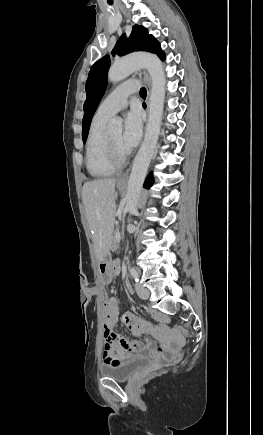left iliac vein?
<instances>
[{"mask_svg":"<svg viewBox=\"0 0 263 435\" xmlns=\"http://www.w3.org/2000/svg\"><path fill=\"white\" fill-rule=\"evenodd\" d=\"M136 291H137L138 296H139L141 299L146 300V299H148L149 296H150V292H149V290L146 289V288H144L142 285H140V284H138V283L136 284Z\"/></svg>","mask_w":263,"mask_h":435,"instance_id":"1","label":"left iliac vein"}]
</instances>
